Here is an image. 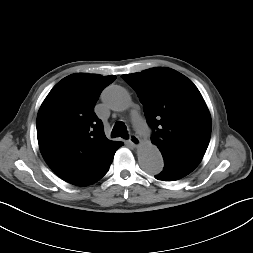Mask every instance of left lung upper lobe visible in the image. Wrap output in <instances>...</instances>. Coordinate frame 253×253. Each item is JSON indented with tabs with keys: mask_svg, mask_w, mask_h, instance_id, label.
<instances>
[{
	"mask_svg": "<svg viewBox=\"0 0 253 253\" xmlns=\"http://www.w3.org/2000/svg\"><path fill=\"white\" fill-rule=\"evenodd\" d=\"M122 78L136 91L163 158L198 165L209 144L211 116L192 81L166 67Z\"/></svg>",
	"mask_w": 253,
	"mask_h": 253,
	"instance_id": "left-lung-upper-lobe-1",
	"label": "left lung upper lobe"
}]
</instances>
